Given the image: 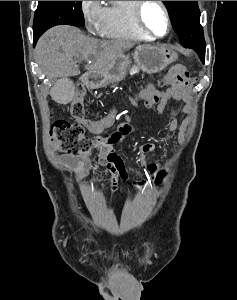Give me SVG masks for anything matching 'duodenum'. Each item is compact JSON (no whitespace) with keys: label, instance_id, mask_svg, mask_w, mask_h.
Instances as JSON below:
<instances>
[{"label":"duodenum","instance_id":"1","mask_svg":"<svg viewBox=\"0 0 237 300\" xmlns=\"http://www.w3.org/2000/svg\"><path fill=\"white\" fill-rule=\"evenodd\" d=\"M82 82L88 89H95L100 84V73L96 70H89L82 75Z\"/></svg>","mask_w":237,"mask_h":300}]
</instances>
